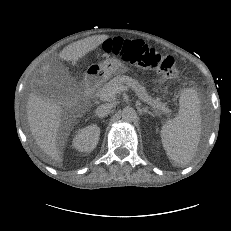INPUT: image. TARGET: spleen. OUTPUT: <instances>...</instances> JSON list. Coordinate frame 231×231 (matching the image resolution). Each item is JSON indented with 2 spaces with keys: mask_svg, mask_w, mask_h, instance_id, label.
I'll return each instance as SVG.
<instances>
[{
  "mask_svg": "<svg viewBox=\"0 0 231 231\" xmlns=\"http://www.w3.org/2000/svg\"><path fill=\"white\" fill-rule=\"evenodd\" d=\"M177 117L167 121L161 129V142L174 165H187L197 151L201 137L200 101L193 89L180 96Z\"/></svg>",
  "mask_w": 231,
  "mask_h": 231,
  "instance_id": "obj_1",
  "label": "spleen"
}]
</instances>
